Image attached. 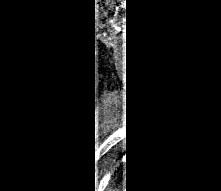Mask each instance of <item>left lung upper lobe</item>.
Instances as JSON below:
<instances>
[{"mask_svg":"<svg viewBox=\"0 0 221 191\" xmlns=\"http://www.w3.org/2000/svg\"><path fill=\"white\" fill-rule=\"evenodd\" d=\"M130 143V138L129 137H126V146H128Z\"/></svg>","mask_w":221,"mask_h":191,"instance_id":"obj_1","label":"left lung upper lobe"}]
</instances>
